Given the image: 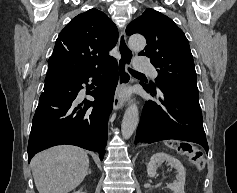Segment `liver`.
I'll use <instances>...</instances> for the list:
<instances>
[{
	"label": "liver",
	"instance_id": "1",
	"mask_svg": "<svg viewBox=\"0 0 237 193\" xmlns=\"http://www.w3.org/2000/svg\"><path fill=\"white\" fill-rule=\"evenodd\" d=\"M87 152L75 146H55L36 154L31 169L39 193H68L88 174Z\"/></svg>",
	"mask_w": 237,
	"mask_h": 193
}]
</instances>
